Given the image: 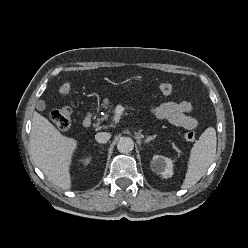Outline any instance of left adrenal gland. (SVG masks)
Listing matches in <instances>:
<instances>
[{
	"instance_id": "obj_1",
	"label": "left adrenal gland",
	"mask_w": 248,
	"mask_h": 248,
	"mask_svg": "<svg viewBox=\"0 0 248 248\" xmlns=\"http://www.w3.org/2000/svg\"><path fill=\"white\" fill-rule=\"evenodd\" d=\"M156 138V135L154 136H147V138L144 140L145 143H149L151 140H154Z\"/></svg>"
}]
</instances>
